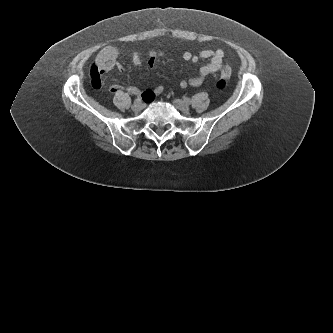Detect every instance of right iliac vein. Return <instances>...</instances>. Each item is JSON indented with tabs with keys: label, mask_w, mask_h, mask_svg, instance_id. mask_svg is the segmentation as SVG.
<instances>
[{
	"label": "right iliac vein",
	"mask_w": 333,
	"mask_h": 333,
	"mask_svg": "<svg viewBox=\"0 0 333 333\" xmlns=\"http://www.w3.org/2000/svg\"><path fill=\"white\" fill-rule=\"evenodd\" d=\"M144 108V104L142 102H134L132 106V110L134 112H140Z\"/></svg>",
	"instance_id": "obj_1"
}]
</instances>
